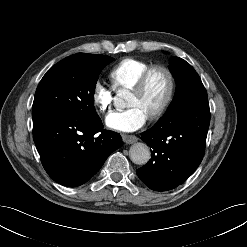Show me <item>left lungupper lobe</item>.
<instances>
[{"instance_id": "5c2ea615", "label": "left lung upper lobe", "mask_w": 247, "mask_h": 247, "mask_svg": "<svg viewBox=\"0 0 247 247\" xmlns=\"http://www.w3.org/2000/svg\"><path fill=\"white\" fill-rule=\"evenodd\" d=\"M169 69L176 79V93L165 115L175 114L183 110L196 99L208 98L202 81L194 68L185 60L174 57Z\"/></svg>"}]
</instances>
